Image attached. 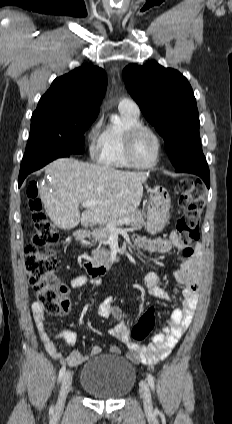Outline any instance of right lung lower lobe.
<instances>
[{
  "label": "right lung lower lobe",
  "mask_w": 232,
  "mask_h": 424,
  "mask_svg": "<svg viewBox=\"0 0 232 424\" xmlns=\"http://www.w3.org/2000/svg\"><path fill=\"white\" fill-rule=\"evenodd\" d=\"M71 153L67 152H60V153H47L42 154L40 156L35 157L34 159L30 160L29 162L25 164H21L20 173H19V180H18V186L20 187L24 179L28 174L31 172H34L49 162L62 157H69Z\"/></svg>",
  "instance_id": "1"
}]
</instances>
